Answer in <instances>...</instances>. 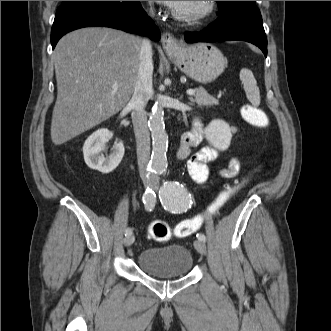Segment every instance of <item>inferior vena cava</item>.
<instances>
[{
	"label": "inferior vena cava",
	"instance_id": "inferior-vena-cava-1",
	"mask_svg": "<svg viewBox=\"0 0 331 331\" xmlns=\"http://www.w3.org/2000/svg\"><path fill=\"white\" fill-rule=\"evenodd\" d=\"M152 74V46L150 40L144 39L140 50L138 76L134 86V93L130 100L137 145L138 167L142 175L147 173V166L150 160V133L145 107L153 94Z\"/></svg>",
	"mask_w": 331,
	"mask_h": 331
}]
</instances>
